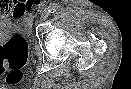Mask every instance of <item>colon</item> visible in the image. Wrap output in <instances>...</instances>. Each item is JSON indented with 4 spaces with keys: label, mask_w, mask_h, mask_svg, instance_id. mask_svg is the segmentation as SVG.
I'll list each match as a JSON object with an SVG mask.
<instances>
[{
    "label": "colon",
    "mask_w": 131,
    "mask_h": 89,
    "mask_svg": "<svg viewBox=\"0 0 131 89\" xmlns=\"http://www.w3.org/2000/svg\"><path fill=\"white\" fill-rule=\"evenodd\" d=\"M6 11H10V5ZM29 54L27 40L21 35H11L0 46V77L10 85L19 83L23 77L22 68Z\"/></svg>",
    "instance_id": "obj_1"
}]
</instances>
